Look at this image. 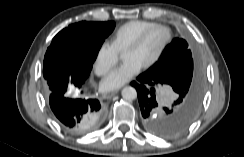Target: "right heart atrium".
I'll list each match as a JSON object with an SVG mask.
<instances>
[{"mask_svg": "<svg viewBox=\"0 0 244 157\" xmlns=\"http://www.w3.org/2000/svg\"><path fill=\"white\" fill-rule=\"evenodd\" d=\"M119 52L112 42L104 41L100 44L94 61L97 75H107L118 63Z\"/></svg>", "mask_w": 244, "mask_h": 157, "instance_id": "1", "label": "right heart atrium"}]
</instances>
